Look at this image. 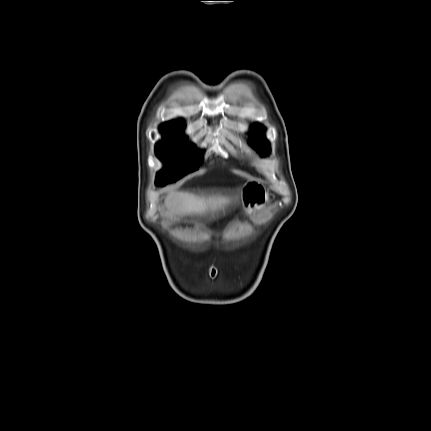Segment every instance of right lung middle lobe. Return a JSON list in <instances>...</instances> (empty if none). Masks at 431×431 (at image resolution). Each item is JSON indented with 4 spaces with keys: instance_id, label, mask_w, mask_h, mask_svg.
<instances>
[{
    "instance_id": "right-lung-middle-lobe-1",
    "label": "right lung middle lobe",
    "mask_w": 431,
    "mask_h": 431,
    "mask_svg": "<svg viewBox=\"0 0 431 431\" xmlns=\"http://www.w3.org/2000/svg\"><path fill=\"white\" fill-rule=\"evenodd\" d=\"M161 130L164 138L157 144L156 154L166 165L157 176V184L166 185L197 170L202 159L187 147L181 130Z\"/></svg>"
}]
</instances>
